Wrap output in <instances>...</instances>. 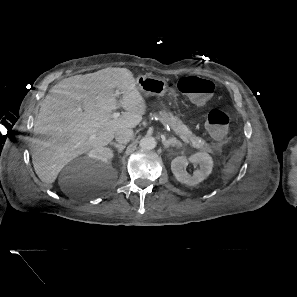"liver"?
<instances>
[{"label": "liver", "instance_id": "6515ba94", "mask_svg": "<svg viewBox=\"0 0 297 297\" xmlns=\"http://www.w3.org/2000/svg\"><path fill=\"white\" fill-rule=\"evenodd\" d=\"M115 88L122 93L119 103ZM49 92L34 123L31 145L34 170L49 187L74 158L108 145L120 130L135 128L147 108L132 72L126 68L69 77ZM119 106L126 112L112 118Z\"/></svg>", "mask_w": 297, "mask_h": 297}]
</instances>
